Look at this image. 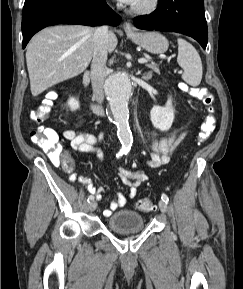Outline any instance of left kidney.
Here are the masks:
<instances>
[{
	"mask_svg": "<svg viewBox=\"0 0 243 289\" xmlns=\"http://www.w3.org/2000/svg\"><path fill=\"white\" fill-rule=\"evenodd\" d=\"M150 119L153 126L160 131H167L174 121V108L171 98L164 107L154 106L150 111Z\"/></svg>",
	"mask_w": 243,
	"mask_h": 289,
	"instance_id": "1",
	"label": "left kidney"
}]
</instances>
